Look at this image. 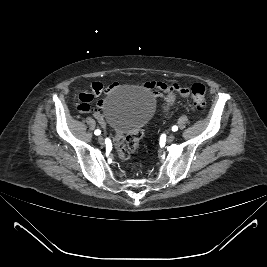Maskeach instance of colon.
<instances>
[{
  "mask_svg": "<svg viewBox=\"0 0 267 267\" xmlns=\"http://www.w3.org/2000/svg\"><path fill=\"white\" fill-rule=\"evenodd\" d=\"M192 95V108L195 111H201L206 104V89L203 84L195 83L191 87ZM175 102V95L170 93L165 98V108L169 110ZM144 129H136L127 135L115 133L113 135V144L121 160L126 161L129 159L130 154L135 152L138 147L141 138L143 137Z\"/></svg>",
  "mask_w": 267,
  "mask_h": 267,
  "instance_id": "1",
  "label": "colon"
}]
</instances>
